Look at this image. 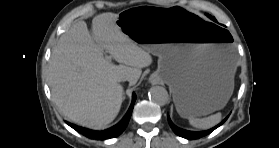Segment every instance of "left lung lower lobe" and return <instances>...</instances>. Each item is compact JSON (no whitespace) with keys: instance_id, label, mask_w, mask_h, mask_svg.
<instances>
[{"instance_id":"1","label":"left lung lower lobe","mask_w":279,"mask_h":148,"mask_svg":"<svg viewBox=\"0 0 279 148\" xmlns=\"http://www.w3.org/2000/svg\"><path fill=\"white\" fill-rule=\"evenodd\" d=\"M227 118H225L220 124H218L217 126H215L214 128L212 129H209L207 131H201V132H193V131H187V130H183V129H180L178 127H176L170 120L169 116H168V122H169V125L171 126L172 130L178 135V136H181L183 138H186V139H189V140H193V139H198V138H201L203 136H206L208 135L209 133H211L213 130H215L217 127H219L221 124L224 123V121L226 120Z\"/></svg>"}]
</instances>
